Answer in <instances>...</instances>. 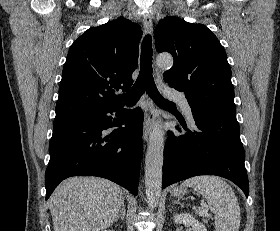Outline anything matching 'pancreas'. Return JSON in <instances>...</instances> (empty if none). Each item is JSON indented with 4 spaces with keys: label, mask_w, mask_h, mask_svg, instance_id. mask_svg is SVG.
Wrapping results in <instances>:
<instances>
[{
    "label": "pancreas",
    "mask_w": 280,
    "mask_h": 231,
    "mask_svg": "<svg viewBox=\"0 0 280 231\" xmlns=\"http://www.w3.org/2000/svg\"><path fill=\"white\" fill-rule=\"evenodd\" d=\"M203 221H205V223H208L207 217H204Z\"/></svg>",
    "instance_id": "obj_1"
}]
</instances>
